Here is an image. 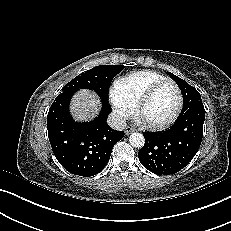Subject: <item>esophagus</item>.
Returning <instances> with one entry per match:
<instances>
[{"instance_id": "34e87169", "label": "esophagus", "mask_w": 231, "mask_h": 231, "mask_svg": "<svg viewBox=\"0 0 231 231\" xmlns=\"http://www.w3.org/2000/svg\"><path fill=\"white\" fill-rule=\"evenodd\" d=\"M134 130H135V129H134L133 127L128 126V127H126V129H125V134L128 135V134H130L131 132H133Z\"/></svg>"}]
</instances>
